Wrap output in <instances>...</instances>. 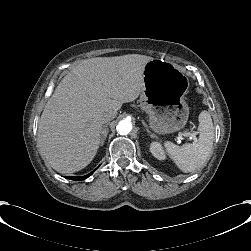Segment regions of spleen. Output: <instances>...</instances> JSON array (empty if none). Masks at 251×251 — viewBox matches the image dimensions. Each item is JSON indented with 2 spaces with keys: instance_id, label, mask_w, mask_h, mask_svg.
I'll use <instances>...</instances> for the list:
<instances>
[{
  "instance_id": "1",
  "label": "spleen",
  "mask_w": 251,
  "mask_h": 251,
  "mask_svg": "<svg viewBox=\"0 0 251 251\" xmlns=\"http://www.w3.org/2000/svg\"><path fill=\"white\" fill-rule=\"evenodd\" d=\"M198 141L181 147L167 142L166 146L181 169L188 173L200 168L209 158L214 138V126L210 113L202 111L198 117Z\"/></svg>"
}]
</instances>
